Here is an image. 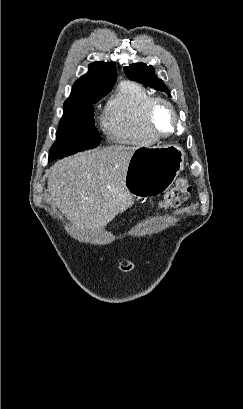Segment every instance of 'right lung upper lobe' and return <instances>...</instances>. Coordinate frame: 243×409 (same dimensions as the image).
Returning <instances> with one entry per match:
<instances>
[{
	"instance_id": "obj_1",
	"label": "right lung upper lobe",
	"mask_w": 243,
	"mask_h": 409,
	"mask_svg": "<svg viewBox=\"0 0 243 409\" xmlns=\"http://www.w3.org/2000/svg\"><path fill=\"white\" fill-rule=\"evenodd\" d=\"M116 67L113 62H94L89 71L78 79L64 107L91 106L112 89L116 81Z\"/></svg>"
}]
</instances>
